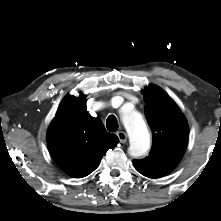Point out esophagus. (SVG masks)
Listing matches in <instances>:
<instances>
[{
	"mask_svg": "<svg viewBox=\"0 0 221 221\" xmlns=\"http://www.w3.org/2000/svg\"><path fill=\"white\" fill-rule=\"evenodd\" d=\"M117 136L119 138L120 143H125L127 141V135L123 131L117 132Z\"/></svg>",
	"mask_w": 221,
	"mask_h": 221,
	"instance_id": "obj_1",
	"label": "esophagus"
}]
</instances>
